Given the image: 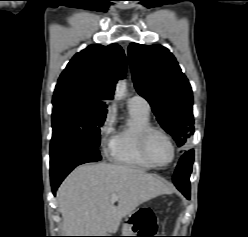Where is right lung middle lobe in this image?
<instances>
[{
    "mask_svg": "<svg viewBox=\"0 0 248 237\" xmlns=\"http://www.w3.org/2000/svg\"><path fill=\"white\" fill-rule=\"evenodd\" d=\"M106 117L105 111L88 108L82 104L53 102L51 143L100 145V127Z\"/></svg>",
    "mask_w": 248,
    "mask_h": 237,
    "instance_id": "1",
    "label": "right lung middle lobe"
}]
</instances>
